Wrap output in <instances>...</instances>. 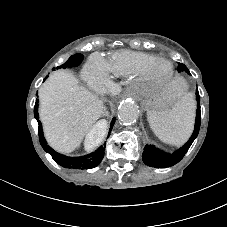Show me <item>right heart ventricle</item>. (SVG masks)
<instances>
[{
	"mask_svg": "<svg viewBox=\"0 0 227 227\" xmlns=\"http://www.w3.org/2000/svg\"><path fill=\"white\" fill-rule=\"evenodd\" d=\"M154 60L152 54L125 51L119 55L115 71L118 73H132L149 66Z\"/></svg>",
	"mask_w": 227,
	"mask_h": 227,
	"instance_id": "obj_1",
	"label": "right heart ventricle"
}]
</instances>
